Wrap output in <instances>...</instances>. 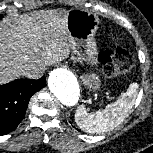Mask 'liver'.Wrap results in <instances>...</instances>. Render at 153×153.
Masks as SVG:
<instances>
[{"label": "liver", "mask_w": 153, "mask_h": 153, "mask_svg": "<svg viewBox=\"0 0 153 153\" xmlns=\"http://www.w3.org/2000/svg\"><path fill=\"white\" fill-rule=\"evenodd\" d=\"M0 24V84L20 75L29 64H52L68 57L66 18L47 19L40 13L18 16ZM47 24H44V23Z\"/></svg>", "instance_id": "liver-1"}]
</instances>
